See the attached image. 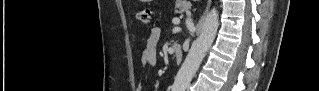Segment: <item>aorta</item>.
<instances>
[{"instance_id": "aorta-1", "label": "aorta", "mask_w": 319, "mask_h": 91, "mask_svg": "<svg viewBox=\"0 0 319 91\" xmlns=\"http://www.w3.org/2000/svg\"><path fill=\"white\" fill-rule=\"evenodd\" d=\"M219 26V14L216 8L206 15L202 25L201 34L193 42L188 55L179 69L174 84L173 91H185L198 70L207 51L212 46Z\"/></svg>"}]
</instances>
